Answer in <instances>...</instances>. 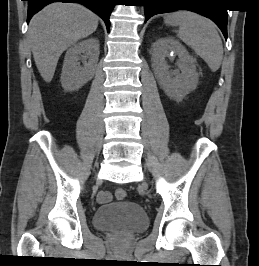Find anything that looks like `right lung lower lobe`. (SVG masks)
Masks as SVG:
<instances>
[{"mask_svg":"<svg viewBox=\"0 0 259 266\" xmlns=\"http://www.w3.org/2000/svg\"><path fill=\"white\" fill-rule=\"evenodd\" d=\"M25 1V0H24ZM28 1L27 22L44 6L52 2L80 3L98 14L106 23L107 30L110 28L109 17L115 6L116 0H26Z\"/></svg>","mask_w":259,"mask_h":266,"instance_id":"98d812e1","label":"right lung lower lobe"}]
</instances>
